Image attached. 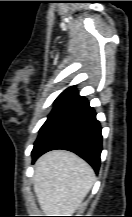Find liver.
<instances>
[{"instance_id":"6515ba94","label":"liver","mask_w":132,"mask_h":217,"mask_svg":"<svg viewBox=\"0 0 132 217\" xmlns=\"http://www.w3.org/2000/svg\"><path fill=\"white\" fill-rule=\"evenodd\" d=\"M34 192L48 216H72L95 182L92 167L65 150L45 153L34 166Z\"/></svg>"}]
</instances>
